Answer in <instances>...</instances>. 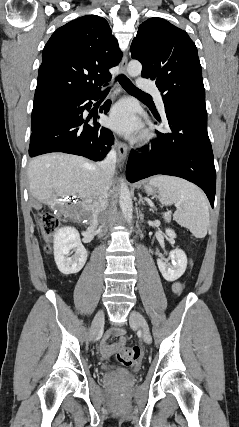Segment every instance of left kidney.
Returning a JSON list of instances; mask_svg holds the SVG:
<instances>
[{
    "mask_svg": "<svg viewBox=\"0 0 239 427\" xmlns=\"http://www.w3.org/2000/svg\"><path fill=\"white\" fill-rule=\"evenodd\" d=\"M166 234L170 238L176 237L175 232L169 228L166 229ZM169 258L171 263H168V260L162 261L158 259L157 264L165 280L171 282L179 279L184 274L187 267V256L183 250L176 248L169 253Z\"/></svg>",
    "mask_w": 239,
    "mask_h": 427,
    "instance_id": "left-kidney-1",
    "label": "left kidney"
}]
</instances>
